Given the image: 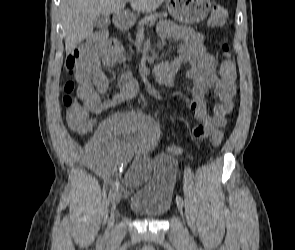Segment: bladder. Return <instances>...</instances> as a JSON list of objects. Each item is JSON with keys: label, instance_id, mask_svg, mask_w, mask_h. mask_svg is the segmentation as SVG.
I'll list each match as a JSON object with an SVG mask.
<instances>
[{"label": "bladder", "instance_id": "obj_1", "mask_svg": "<svg viewBox=\"0 0 295 250\" xmlns=\"http://www.w3.org/2000/svg\"><path fill=\"white\" fill-rule=\"evenodd\" d=\"M174 168L173 157L157 156L152 163L151 179L142 186H135L129 210L144 219H160L166 215L173 202Z\"/></svg>", "mask_w": 295, "mask_h": 250}]
</instances>
